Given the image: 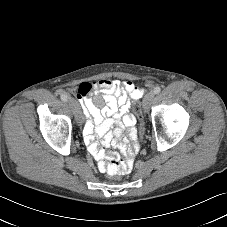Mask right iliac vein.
Listing matches in <instances>:
<instances>
[{
	"label": "right iliac vein",
	"instance_id": "right-iliac-vein-1",
	"mask_svg": "<svg viewBox=\"0 0 227 227\" xmlns=\"http://www.w3.org/2000/svg\"><path fill=\"white\" fill-rule=\"evenodd\" d=\"M68 103H69V106L71 107V109L73 111V114L75 116L76 122L78 124H81L82 121H83V115H82L79 103L73 98H70Z\"/></svg>",
	"mask_w": 227,
	"mask_h": 227
}]
</instances>
